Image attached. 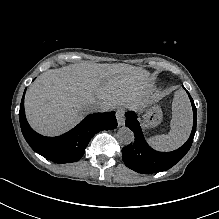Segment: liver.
Here are the masks:
<instances>
[{
    "instance_id": "1",
    "label": "liver",
    "mask_w": 219,
    "mask_h": 219,
    "mask_svg": "<svg viewBox=\"0 0 219 219\" xmlns=\"http://www.w3.org/2000/svg\"><path fill=\"white\" fill-rule=\"evenodd\" d=\"M149 72L127 64H70L42 73L25 95L29 124L45 136L74 128L94 102L110 109L142 111L148 103Z\"/></svg>"
}]
</instances>
